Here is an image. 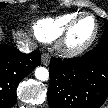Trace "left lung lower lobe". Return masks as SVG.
I'll return each mask as SVG.
<instances>
[{
	"label": "left lung lower lobe",
	"mask_w": 108,
	"mask_h": 108,
	"mask_svg": "<svg viewBox=\"0 0 108 108\" xmlns=\"http://www.w3.org/2000/svg\"><path fill=\"white\" fill-rule=\"evenodd\" d=\"M50 108H100L108 97V41L81 57L52 58Z\"/></svg>",
	"instance_id": "left-lung-lower-lobe-1"
}]
</instances>
